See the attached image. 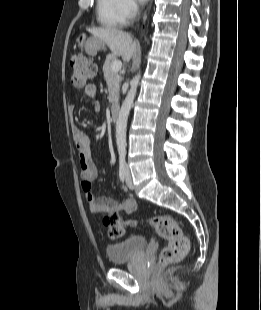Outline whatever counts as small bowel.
<instances>
[{
  "label": "small bowel",
  "instance_id": "1",
  "mask_svg": "<svg viewBox=\"0 0 261 310\" xmlns=\"http://www.w3.org/2000/svg\"><path fill=\"white\" fill-rule=\"evenodd\" d=\"M84 93L91 100H96L97 90L92 84L85 87ZM73 110V106H70ZM71 131L73 140L78 150L79 173L81 177V188L90 210L97 214H119L129 216L136 211L137 204L134 199H127L120 203L111 197L96 198L91 191V183L97 177V168L92 161V141L79 127L72 121Z\"/></svg>",
  "mask_w": 261,
  "mask_h": 310
}]
</instances>
